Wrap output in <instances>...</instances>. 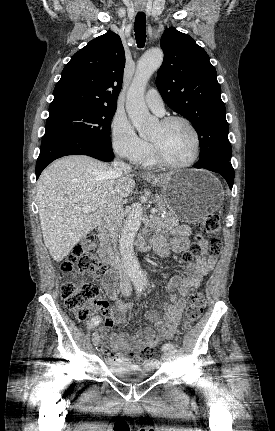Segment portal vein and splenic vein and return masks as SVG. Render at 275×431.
<instances>
[{"mask_svg":"<svg viewBox=\"0 0 275 431\" xmlns=\"http://www.w3.org/2000/svg\"><path fill=\"white\" fill-rule=\"evenodd\" d=\"M79 210H82L84 213H89L95 210V207L93 206H83V207H77ZM157 209L153 208L151 209V214H156Z\"/></svg>","mask_w":275,"mask_h":431,"instance_id":"18ae733b","label":"portal vein and splenic vein"}]
</instances>
